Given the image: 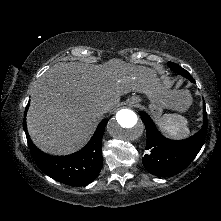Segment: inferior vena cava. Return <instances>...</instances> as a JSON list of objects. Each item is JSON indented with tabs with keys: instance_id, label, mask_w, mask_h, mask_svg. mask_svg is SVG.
I'll return each instance as SVG.
<instances>
[{
	"instance_id": "602c4592",
	"label": "inferior vena cava",
	"mask_w": 221,
	"mask_h": 221,
	"mask_svg": "<svg viewBox=\"0 0 221 221\" xmlns=\"http://www.w3.org/2000/svg\"><path fill=\"white\" fill-rule=\"evenodd\" d=\"M108 111V106H102L100 109H99V112L101 113V114H104V113H106Z\"/></svg>"
}]
</instances>
